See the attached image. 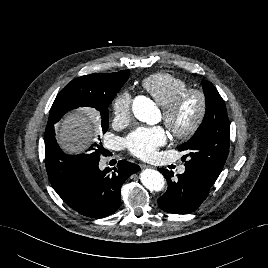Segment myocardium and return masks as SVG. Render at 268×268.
Returning <instances> with one entry per match:
<instances>
[{
  "label": "myocardium",
  "instance_id": "myocardium-1",
  "mask_svg": "<svg viewBox=\"0 0 268 268\" xmlns=\"http://www.w3.org/2000/svg\"><path fill=\"white\" fill-rule=\"evenodd\" d=\"M190 95H194L198 99V110L186 128H179L176 123V115L183 101ZM208 110L207 96L203 90L199 88H185L178 92L174 98L162 108V119L170 131V133L178 140H187L191 138L199 130L202 125Z\"/></svg>",
  "mask_w": 268,
  "mask_h": 268
}]
</instances>
